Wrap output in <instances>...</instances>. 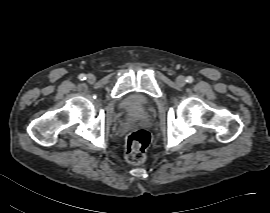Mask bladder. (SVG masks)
I'll return each mask as SVG.
<instances>
[{"mask_svg":"<svg viewBox=\"0 0 270 213\" xmlns=\"http://www.w3.org/2000/svg\"><path fill=\"white\" fill-rule=\"evenodd\" d=\"M152 106V101L143 93L131 92L118 101V107L126 114L143 113Z\"/></svg>","mask_w":270,"mask_h":213,"instance_id":"1","label":"bladder"}]
</instances>
